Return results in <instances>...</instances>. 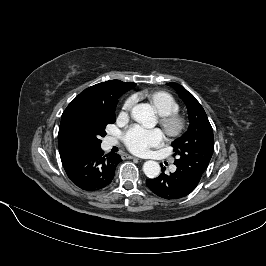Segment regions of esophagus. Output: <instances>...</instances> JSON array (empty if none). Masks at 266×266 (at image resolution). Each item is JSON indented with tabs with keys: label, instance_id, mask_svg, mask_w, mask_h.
Wrapping results in <instances>:
<instances>
[{
	"label": "esophagus",
	"instance_id": "1",
	"mask_svg": "<svg viewBox=\"0 0 266 266\" xmlns=\"http://www.w3.org/2000/svg\"><path fill=\"white\" fill-rule=\"evenodd\" d=\"M127 158H128V159H136V160H140V158H137V157L132 156V155H128Z\"/></svg>",
	"mask_w": 266,
	"mask_h": 266
}]
</instances>
